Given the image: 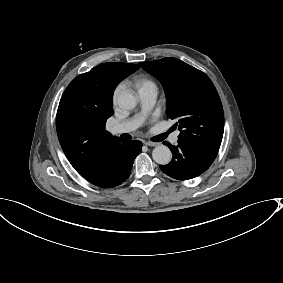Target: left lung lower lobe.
Here are the masks:
<instances>
[{
	"mask_svg": "<svg viewBox=\"0 0 283 283\" xmlns=\"http://www.w3.org/2000/svg\"><path fill=\"white\" fill-rule=\"evenodd\" d=\"M173 152V158L167 165H160L166 175L177 180L192 179L206 171L217 156L218 151L178 140L173 146L164 142Z\"/></svg>",
	"mask_w": 283,
	"mask_h": 283,
	"instance_id": "0a47b994",
	"label": "left lung lower lobe"
}]
</instances>
